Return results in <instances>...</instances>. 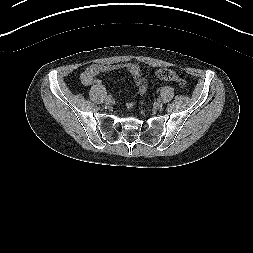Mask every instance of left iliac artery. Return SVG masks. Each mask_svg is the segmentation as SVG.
<instances>
[{
	"label": "left iliac artery",
	"instance_id": "44dca946",
	"mask_svg": "<svg viewBox=\"0 0 253 253\" xmlns=\"http://www.w3.org/2000/svg\"><path fill=\"white\" fill-rule=\"evenodd\" d=\"M156 101H157L158 103H161V102L163 101V98H162L161 96H158V97L156 98Z\"/></svg>",
	"mask_w": 253,
	"mask_h": 253
}]
</instances>
